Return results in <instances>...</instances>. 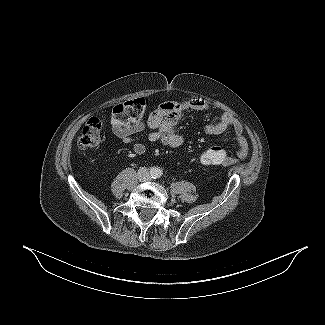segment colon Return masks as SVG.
Masks as SVG:
<instances>
[{
    "mask_svg": "<svg viewBox=\"0 0 325 325\" xmlns=\"http://www.w3.org/2000/svg\"><path fill=\"white\" fill-rule=\"evenodd\" d=\"M146 110V101L143 98H136L118 104L112 109L111 123L125 127L133 123L141 122L145 117ZM103 125L104 119L101 117H93L85 124L77 142L80 151L92 150L102 142ZM199 160L204 166H216L228 162L226 151L220 146H214L204 150Z\"/></svg>",
    "mask_w": 325,
    "mask_h": 325,
    "instance_id": "obj_1",
    "label": "colon"
}]
</instances>
